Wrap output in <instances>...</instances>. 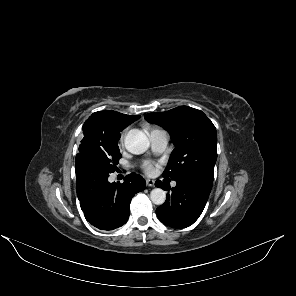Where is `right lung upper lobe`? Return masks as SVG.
I'll use <instances>...</instances> for the list:
<instances>
[{
    "mask_svg": "<svg viewBox=\"0 0 296 296\" xmlns=\"http://www.w3.org/2000/svg\"><path fill=\"white\" fill-rule=\"evenodd\" d=\"M139 117L110 110L95 112L84 123L83 132L85 135H108L120 132Z\"/></svg>",
    "mask_w": 296,
    "mask_h": 296,
    "instance_id": "right-lung-upper-lobe-1",
    "label": "right lung upper lobe"
}]
</instances>
